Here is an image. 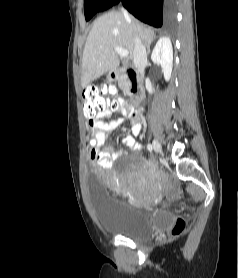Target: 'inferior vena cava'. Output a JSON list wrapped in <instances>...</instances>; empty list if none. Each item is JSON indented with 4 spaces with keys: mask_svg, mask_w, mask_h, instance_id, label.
<instances>
[{
    "mask_svg": "<svg viewBox=\"0 0 238 278\" xmlns=\"http://www.w3.org/2000/svg\"><path fill=\"white\" fill-rule=\"evenodd\" d=\"M123 14L125 18L130 19L126 10H123ZM133 64L140 74L141 79H143L145 66L147 64V54L143 42L137 35L134 38Z\"/></svg>",
    "mask_w": 238,
    "mask_h": 278,
    "instance_id": "1",
    "label": "inferior vena cava"
}]
</instances>
